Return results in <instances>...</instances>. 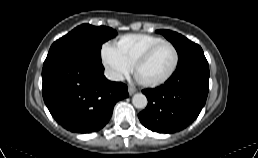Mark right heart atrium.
<instances>
[{"label": "right heart atrium", "mask_w": 258, "mask_h": 158, "mask_svg": "<svg viewBox=\"0 0 258 158\" xmlns=\"http://www.w3.org/2000/svg\"><path fill=\"white\" fill-rule=\"evenodd\" d=\"M106 61L111 67L115 68L120 72H126L128 70L127 65L124 62H122L116 54L112 52H109L106 55Z\"/></svg>", "instance_id": "d8ad5b80"}]
</instances>
